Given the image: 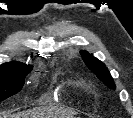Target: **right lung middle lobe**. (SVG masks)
Returning a JSON list of instances; mask_svg holds the SVG:
<instances>
[{
  "mask_svg": "<svg viewBox=\"0 0 133 118\" xmlns=\"http://www.w3.org/2000/svg\"><path fill=\"white\" fill-rule=\"evenodd\" d=\"M33 67H19L14 69H0V102L18 93L24 79Z\"/></svg>",
  "mask_w": 133,
  "mask_h": 118,
  "instance_id": "right-lung-middle-lobe-1",
  "label": "right lung middle lobe"
}]
</instances>
